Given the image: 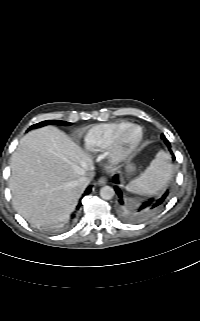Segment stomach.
<instances>
[{
    "label": "stomach",
    "instance_id": "obj_1",
    "mask_svg": "<svg viewBox=\"0 0 200 321\" xmlns=\"http://www.w3.org/2000/svg\"><path fill=\"white\" fill-rule=\"evenodd\" d=\"M126 172H127L128 175L134 174V173L136 172V167H135V165H134V164H128V165L126 166Z\"/></svg>",
    "mask_w": 200,
    "mask_h": 321
}]
</instances>
